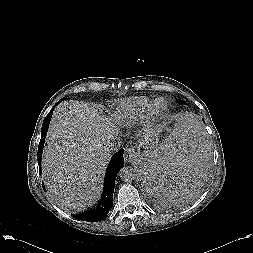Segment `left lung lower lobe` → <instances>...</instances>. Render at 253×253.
<instances>
[{"label":"left lung lower lobe","mask_w":253,"mask_h":253,"mask_svg":"<svg viewBox=\"0 0 253 253\" xmlns=\"http://www.w3.org/2000/svg\"><path fill=\"white\" fill-rule=\"evenodd\" d=\"M202 157L187 156L183 164L176 165L164 158L150 163L143 182L151 192V198L160 204L187 199L202 175Z\"/></svg>","instance_id":"0a47b994"}]
</instances>
